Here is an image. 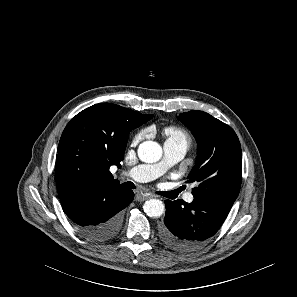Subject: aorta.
<instances>
[{
    "label": "aorta",
    "mask_w": 297,
    "mask_h": 297,
    "mask_svg": "<svg viewBox=\"0 0 297 297\" xmlns=\"http://www.w3.org/2000/svg\"><path fill=\"white\" fill-rule=\"evenodd\" d=\"M138 156L146 163L157 162L162 157V148L157 142L144 141L138 147ZM143 209L149 217H160L164 213L165 206L158 199H150L144 203Z\"/></svg>",
    "instance_id": "obj_1"
}]
</instances>
